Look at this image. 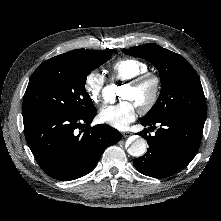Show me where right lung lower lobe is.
Masks as SVG:
<instances>
[{
    "label": "right lung lower lobe",
    "instance_id": "obj_1",
    "mask_svg": "<svg viewBox=\"0 0 221 221\" xmlns=\"http://www.w3.org/2000/svg\"><path fill=\"white\" fill-rule=\"evenodd\" d=\"M96 114L94 110L82 116L23 115L27 144L47 175L61 181L84 176L109 145L120 141V132L111 126H90Z\"/></svg>",
    "mask_w": 221,
    "mask_h": 221
}]
</instances>
